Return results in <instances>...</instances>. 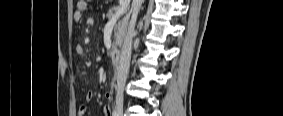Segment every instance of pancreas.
<instances>
[{
    "instance_id": "1",
    "label": "pancreas",
    "mask_w": 283,
    "mask_h": 116,
    "mask_svg": "<svg viewBox=\"0 0 283 116\" xmlns=\"http://www.w3.org/2000/svg\"><path fill=\"white\" fill-rule=\"evenodd\" d=\"M117 7H112L109 9L107 13V18L111 19L114 15V13L117 11ZM127 23H128V17L125 16L122 19L117 20V23L114 27V40L112 43V50L114 51L117 46H120L123 40V37L127 30Z\"/></svg>"
}]
</instances>
